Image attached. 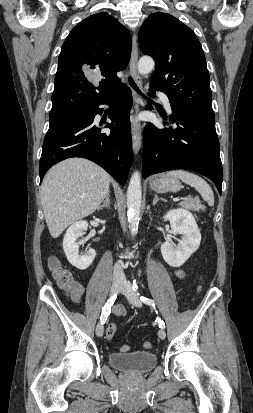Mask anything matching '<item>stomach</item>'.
I'll return each instance as SVG.
<instances>
[{"instance_id": "obj_1", "label": "stomach", "mask_w": 253, "mask_h": 413, "mask_svg": "<svg viewBox=\"0 0 253 413\" xmlns=\"http://www.w3.org/2000/svg\"><path fill=\"white\" fill-rule=\"evenodd\" d=\"M151 188L158 193H165V192H178L182 185L180 181L173 176L162 175L150 183Z\"/></svg>"}]
</instances>
